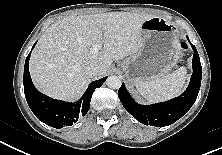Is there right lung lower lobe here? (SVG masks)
Masks as SVG:
<instances>
[{
	"mask_svg": "<svg viewBox=\"0 0 222 155\" xmlns=\"http://www.w3.org/2000/svg\"><path fill=\"white\" fill-rule=\"evenodd\" d=\"M30 55L31 52L25 61L23 79L24 93L30 109L40 121L51 127L59 129L73 125L79 116H84L88 112L92 93L102 86L107 77L91 82L80 100L75 103L56 100L40 93L34 87L28 67Z\"/></svg>",
	"mask_w": 222,
	"mask_h": 155,
	"instance_id": "1",
	"label": "right lung lower lobe"
}]
</instances>
